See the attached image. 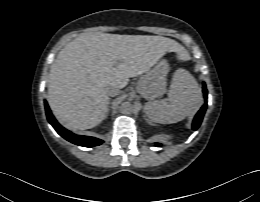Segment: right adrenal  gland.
I'll list each match as a JSON object with an SVG mask.
<instances>
[{
	"label": "right adrenal gland",
	"mask_w": 260,
	"mask_h": 202,
	"mask_svg": "<svg viewBox=\"0 0 260 202\" xmlns=\"http://www.w3.org/2000/svg\"><path fill=\"white\" fill-rule=\"evenodd\" d=\"M110 103V102H109ZM108 112H109V106H108V108H107V114H106V117H107V115H108Z\"/></svg>",
	"instance_id": "1"
}]
</instances>
